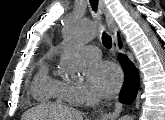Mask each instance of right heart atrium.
Returning a JSON list of instances; mask_svg holds the SVG:
<instances>
[{"label": "right heart atrium", "mask_w": 165, "mask_h": 120, "mask_svg": "<svg viewBox=\"0 0 165 120\" xmlns=\"http://www.w3.org/2000/svg\"><path fill=\"white\" fill-rule=\"evenodd\" d=\"M66 95L69 102L81 104L90 100L91 96L81 83L65 84Z\"/></svg>", "instance_id": "right-heart-atrium-1"}]
</instances>
